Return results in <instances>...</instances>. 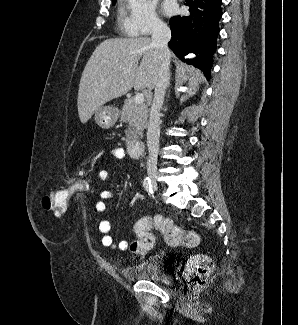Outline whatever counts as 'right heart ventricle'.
I'll list each match as a JSON object with an SVG mask.
<instances>
[{
	"label": "right heart ventricle",
	"mask_w": 298,
	"mask_h": 325,
	"mask_svg": "<svg viewBox=\"0 0 298 325\" xmlns=\"http://www.w3.org/2000/svg\"><path fill=\"white\" fill-rule=\"evenodd\" d=\"M123 10H124V4L123 3H120L119 13H120L121 16H122Z\"/></svg>",
	"instance_id": "right-heart-ventricle-1"
}]
</instances>
